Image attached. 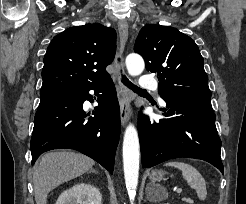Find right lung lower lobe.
I'll use <instances>...</instances> for the list:
<instances>
[{
  "label": "right lung lower lobe",
  "instance_id": "1",
  "mask_svg": "<svg viewBox=\"0 0 246 204\" xmlns=\"http://www.w3.org/2000/svg\"><path fill=\"white\" fill-rule=\"evenodd\" d=\"M95 91L94 117L83 110ZM102 93V95H99ZM31 138L32 164L45 151L70 148L91 157L110 173L120 135V110L112 80L85 87H68L40 94Z\"/></svg>",
  "mask_w": 246,
  "mask_h": 204
}]
</instances>
